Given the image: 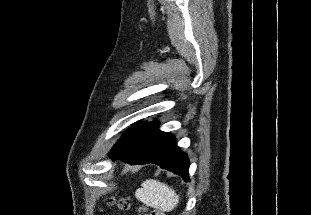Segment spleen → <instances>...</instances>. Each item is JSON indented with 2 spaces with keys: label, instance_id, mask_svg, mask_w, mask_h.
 Segmentation results:
<instances>
[{
  "label": "spleen",
  "instance_id": "obj_1",
  "mask_svg": "<svg viewBox=\"0 0 311 215\" xmlns=\"http://www.w3.org/2000/svg\"><path fill=\"white\" fill-rule=\"evenodd\" d=\"M135 196L138 200L162 212L172 211L179 203V196L167 184L149 179L141 184Z\"/></svg>",
  "mask_w": 311,
  "mask_h": 215
}]
</instances>
